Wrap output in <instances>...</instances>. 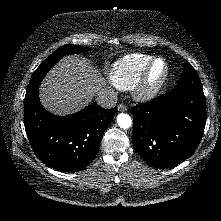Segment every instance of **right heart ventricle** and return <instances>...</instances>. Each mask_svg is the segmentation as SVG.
Segmentation results:
<instances>
[{"mask_svg":"<svg viewBox=\"0 0 221 221\" xmlns=\"http://www.w3.org/2000/svg\"><path fill=\"white\" fill-rule=\"evenodd\" d=\"M152 56L143 53L129 54L112 64L108 71L110 82L121 90L134 87Z\"/></svg>","mask_w":221,"mask_h":221,"instance_id":"1","label":"right heart ventricle"}]
</instances>
